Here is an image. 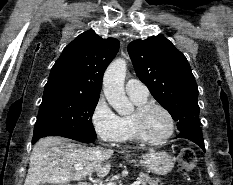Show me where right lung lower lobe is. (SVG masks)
<instances>
[{
  "instance_id": "1",
  "label": "right lung lower lobe",
  "mask_w": 233,
  "mask_h": 185,
  "mask_svg": "<svg viewBox=\"0 0 233 185\" xmlns=\"http://www.w3.org/2000/svg\"><path fill=\"white\" fill-rule=\"evenodd\" d=\"M74 140L80 141V142H86L91 143L94 142L96 138H89V137H74Z\"/></svg>"
}]
</instances>
